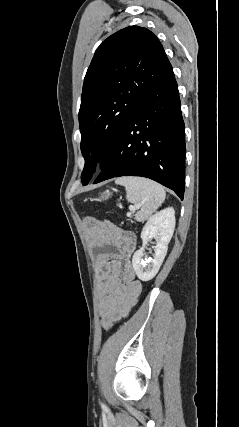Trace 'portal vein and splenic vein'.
I'll list each match as a JSON object with an SVG mask.
<instances>
[{"instance_id": "portal-vein-and-splenic-vein-1", "label": "portal vein and splenic vein", "mask_w": 239, "mask_h": 427, "mask_svg": "<svg viewBox=\"0 0 239 427\" xmlns=\"http://www.w3.org/2000/svg\"><path fill=\"white\" fill-rule=\"evenodd\" d=\"M136 209H138V206H130V207H129V210H130L131 212L135 211Z\"/></svg>"}]
</instances>
